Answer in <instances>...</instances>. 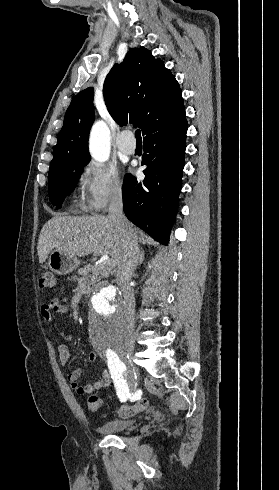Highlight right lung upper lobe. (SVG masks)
<instances>
[{
	"mask_svg": "<svg viewBox=\"0 0 279 490\" xmlns=\"http://www.w3.org/2000/svg\"><path fill=\"white\" fill-rule=\"evenodd\" d=\"M104 98L113 119L142 129L144 138L172 129L185 119L181 89L175 76L149 50L131 48L104 83ZM93 88L78 93L64 117L49 176L90 161L88 136L94 122Z\"/></svg>",
	"mask_w": 279,
	"mask_h": 490,
	"instance_id": "right-lung-upper-lobe-1",
	"label": "right lung upper lobe"
}]
</instances>
